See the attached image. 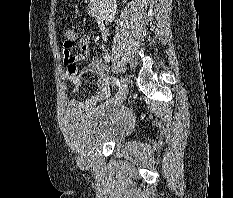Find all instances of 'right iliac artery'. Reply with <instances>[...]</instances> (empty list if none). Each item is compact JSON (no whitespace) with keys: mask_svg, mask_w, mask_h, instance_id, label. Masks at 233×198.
I'll list each match as a JSON object with an SVG mask.
<instances>
[{"mask_svg":"<svg viewBox=\"0 0 233 198\" xmlns=\"http://www.w3.org/2000/svg\"><path fill=\"white\" fill-rule=\"evenodd\" d=\"M112 83L114 84V85H116L117 87H120V81H119V79H117V78H112Z\"/></svg>","mask_w":233,"mask_h":198,"instance_id":"obj_1","label":"right iliac artery"}]
</instances>
